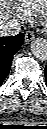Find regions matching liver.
Here are the masks:
<instances>
[{"label":"liver","mask_w":47,"mask_h":129,"mask_svg":"<svg viewBox=\"0 0 47 129\" xmlns=\"http://www.w3.org/2000/svg\"><path fill=\"white\" fill-rule=\"evenodd\" d=\"M10 2L11 0H0V25L2 22L7 21L12 14Z\"/></svg>","instance_id":"obj_1"}]
</instances>
